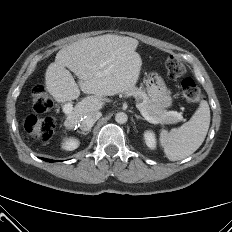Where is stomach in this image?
Listing matches in <instances>:
<instances>
[{"label": "stomach", "instance_id": "stomach-1", "mask_svg": "<svg viewBox=\"0 0 232 232\" xmlns=\"http://www.w3.org/2000/svg\"><path fill=\"white\" fill-rule=\"evenodd\" d=\"M147 92L151 100L161 108L166 109L172 106L171 92L161 78L147 81Z\"/></svg>", "mask_w": 232, "mask_h": 232}]
</instances>
